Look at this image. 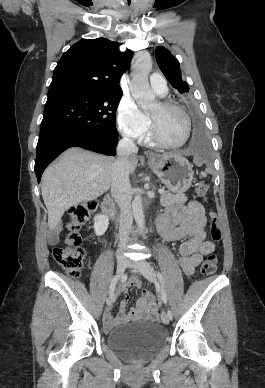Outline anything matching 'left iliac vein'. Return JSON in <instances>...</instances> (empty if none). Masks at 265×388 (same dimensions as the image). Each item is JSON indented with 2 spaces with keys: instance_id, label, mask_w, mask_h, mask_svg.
Returning <instances> with one entry per match:
<instances>
[{
  "instance_id": "1",
  "label": "left iliac vein",
  "mask_w": 265,
  "mask_h": 388,
  "mask_svg": "<svg viewBox=\"0 0 265 388\" xmlns=\"http://www.w3.org/2000/svg\"><path fill=\"white\" fill-rule=\"evenodd\" d=\"M137 269L141 272V274L147 279L149 280L150 282L154 283V284H157L158 281H157V276H156V273L153 269V267L146 261H140L138 266H137ZM161 320L164 324H168L169 323V320L170 318L168 317V315L163 312L161 314Z\"/></svg>"
}]
</instances>
